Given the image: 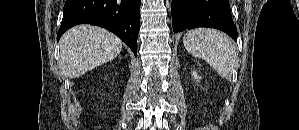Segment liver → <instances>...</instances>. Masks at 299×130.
<instances>
[{
	"label": "liver",
	"instance_id": "1",
	"mask_svg": "<svg viewBox=\"0 0 299 130\" xmlns=\"http://www.w3.org/2000/svg\"><path fill=\"white\" fill-rule=\"evenodd\" d=\"M122 41L111 32L91 25L68 30L60 40V68L66 78H77L116 58Z\"/></svg>",
	"mask_w": 299,
	"mask_h": 130
}]
</instances>
